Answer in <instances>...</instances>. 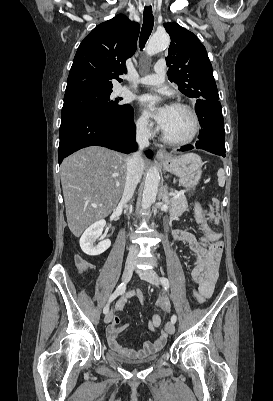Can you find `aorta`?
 I'll list each match as a JSON object with an SVG mask.
<instances>
[{"label": "aorta", "instance_id": "1", "mask_svg": "<svg viewBox=\"0 0 273 401\" xmlns=\"http://www.w3.org/2000/svg\"><path fill=\"white\" fill-rule=\"evenodd\" d=\"M169 44L170 37L167 33H155L147 44L146 53L147 55L152 56L165 50ZM159 182L160 175L158 169L156 167L150 168L145 179L141 202V206L144 210L148 209L155 202L158 193Z\"/></svg>", "mask_w": 273, "mask_h": 401}]
</instances>
